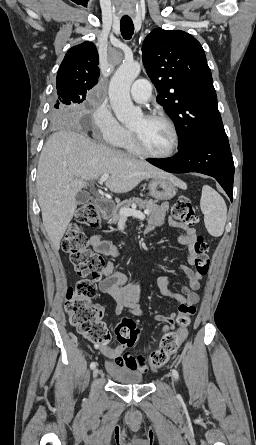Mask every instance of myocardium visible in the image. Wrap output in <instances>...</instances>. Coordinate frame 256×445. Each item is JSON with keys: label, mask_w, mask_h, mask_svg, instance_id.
Wrapping results in <instances>:
<instances>
[{"label": "myocardium", "mask_w": 256, "mask_h": 445, "mask_svg": "<svg viewBox=\"0 0 256 445\" xmlns=\"http://www.w3.org/2000/svg\"><path fill=\"white\" fill-rule=\"evenodd\" d=\"M143 117L146 120H157V121L164 122L169 127V129L172 133V145H171V148L169 149V151H167L166 153H163V154L152 153L145 148L139 135L135 131L130 129V135L132 138V142H133V145H134L135 149L137 150V152L145 157L152 158V159H167V158L172 157L176 153V151L179 147V133H178L175 123L166 115L158 114V113L146 114Z\"/></svg>", "instance_id": "obj_1"}]
</instances>
